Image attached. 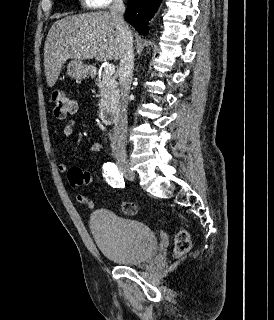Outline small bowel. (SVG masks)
I'll return each instance as SVG.
<instances>
[{
  "instance_id": "c3829d8e",
  "label": "small bowel",
  "mask_w": 274,
  "mask_h": 320,
  "mask_svg": "<svg viewBox=\"0 0 274 320\" xmlns=\"http://www.w3.org/2000/svg\"><path fill=\"white\" fill-rule=\"evenodd\" d=\"M75 109H76V103H75ZM79 123V121L77 120H72L68 123H66L63 127V130H62V135L64 138H69L72 136L73 132H74V129H75V126ZM89 151L90 152H100V151H103V146L100 145V144H93L89 147ZM58 171L60 173H65L68 170V166L66 163H60L58 165ZM83 171V170H82ZM85 172L87 175H89L88 172L86 171H83ZM90 176V175H89ZM76 200L85 205L88 209H93L94 208V203L91 199H89L88 197H86L85 195H78L76 197Z\"/></svg>"
}]
</instances>
